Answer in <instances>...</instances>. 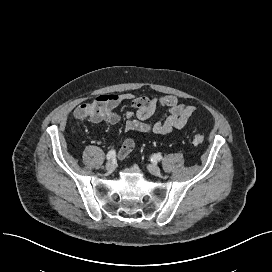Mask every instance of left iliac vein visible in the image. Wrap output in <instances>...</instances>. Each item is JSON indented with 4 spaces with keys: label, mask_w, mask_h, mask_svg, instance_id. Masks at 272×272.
Segmentation results:
<instances>
[{
    "label": "left iliac vein",
    "mask_w": 272,
    "mask_h": 272,
    "mask_svg": "<svg viewBox=\"0 0 272 272\" xmlns=\"http://www.w3.org/2000/svg\"><path fill=\"white\" fill-rule=\"evenodd\" d=\"M148 170L150 173H152L153 175H156V176L160 175V173H161L160 168L155 164H149Z\"/></svg>",
    "instance_id": "1"
}]
</instances>
